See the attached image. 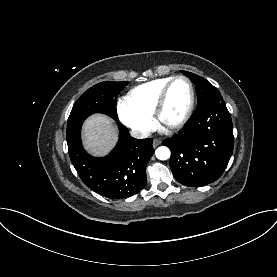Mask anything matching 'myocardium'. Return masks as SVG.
I'll return each mask as SVG.
<instances>
[{
	"label": "myocardium",
	"mask_w": 277,
	"mask_h": 277,
	"mask_svg": "<svg viewBox=\"0 0 277 277\" xmlns=\"http://www.w3.org/2000/svg\"><path fill=\"white\" fill-rule=\"evenodd\" d=\"M179 80H183L188 84L189 89H190V101H189V104H188V107H187L185 113L178 121H176L172 124L165 125V124H163L162 118H161L162 112L165 107V104H166V101L168 98V94H169V91H170L172 85L176 81H179ZM195 101H196V93H195V88H194L192 81L188 77L183 76V75L175 76L164 86V88L162 89V91L157 99V102H156V104L154 106V110H153L154 120L157 124L163 126L164 128H166L168 130H178L181 127H183L186 124V122L190 119V117L194 111Z\"/></svg>",
	"instance_id": "myocardium-1"
}]
</instances>
